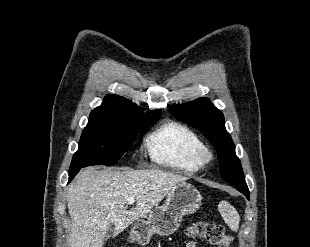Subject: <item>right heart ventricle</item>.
<instances>
[{"label":"right heart ventricle","mask_w":310,"mask_h":247,"mask_svg":"<svg viewBox=\"0 0 310 247\" xmlns=\"http://www.w3.org/2000/svg\"><path fill=\"white\" fill-rule=\"evenodd\" d=\"M145 146L155 163L190 173L201 167L197 154L205 147L192 129L175 121H168L148 134Z\"/></svg>","instance_id":"e07e8e85"}]
</instances>
